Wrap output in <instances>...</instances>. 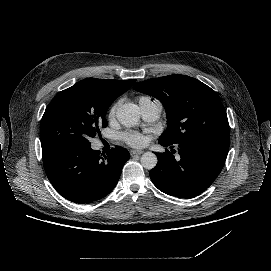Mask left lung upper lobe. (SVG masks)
Here are the masks:
<instances>
[{"label":"left lung upper lobe","instance_id":"1","mask_svg":"<svg viewBox=\"0 0 271 271\" xmlns=\"http://www.w3.org/2000/svg\"><path fill=\"white\" fill-rule=\"evenodd\" d=\"M136 91L159 99L168 127L159 140L169 144L194 142L200 135L230 138L226 111L214 90L186 75L138 82Z\"/></svg>","mask_w":271,"mask_h":271}]
</instances>
